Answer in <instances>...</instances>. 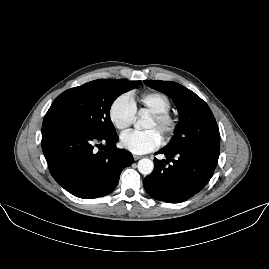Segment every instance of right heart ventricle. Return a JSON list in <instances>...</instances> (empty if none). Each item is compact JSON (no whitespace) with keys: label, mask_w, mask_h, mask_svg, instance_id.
Here are the masks:
<instances>
[{"label":"right heart ventricle","mask_w":269,"mask_h":269,"mask_svg":"<svg viewBox=\"0 0 269 269\" xmlns=\"http://www.w3.org/2000/svg\"><path fill=\"white\" fill-rule=\"evenodd\" d=\"M137 104L140 113L145 111L150 114L169 111L172 107L169 97L161 92H151L142 95L137 99Z\"/></svg>","instance_id":"right-heart-ventricle-1"}]
</instances>
